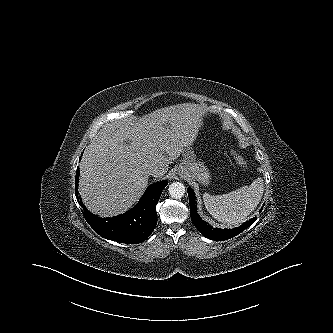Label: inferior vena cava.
Masks as SVG:
<instances>
[{
	"label": "inferior vena cava",
	"mask_w": 333,
	"mask_h": 333,
	"mask_svg": "<svg viewBox=\"0 0 333 333\" xmlns=\"http://www.w3.org/2000/svg\"><path fill=\"white\" fill-rule=\"evenodd\" d=\"M148 173L149 175H152L154 177L160 176L162 174L161 170L157 167H152L151 169H149Z\"/></svg>",
	"instance_id": "602c4592"
}]
</instances>
